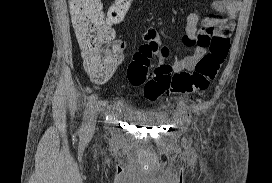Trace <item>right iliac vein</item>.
Masks as SVG:
<instances>
[{
  "mask_svg": "<svg viewBox=\"0 0 272 183\" xmlns=\"http://www.w3.org/2000/svg\"><path fill=\"white\" fill-rule=\"evenodd\" d=\"M100 103L98 102L94 109L92 110L91 117H90V123L87 129V134L93 133L95 129V123L99 112Z\"/></svg>",
  "mask_w": 272,
  "mask_h": 183,
  "instance_id": "obj_1",
  "label": "right iliac vein"
}]
</instances>
